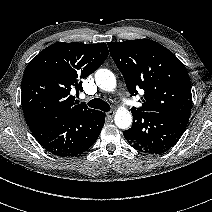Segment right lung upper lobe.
Wrapping results in <instances>:
<instances>
[{
    "instance_id": "cb5924a9",
    "label": "right lung upper lobe",
    "mask_w": 212,
    "mask_h": 212,
    "mask_svg": "<svg viewBox=\"0 0 212 212\" xmlns=\"http://www.w3.org/2000/svg\"><path fill=\"white\" fill-rule=\"evenodd\" d=\"M107 56L105 43L58 42L34 57L22 79V108L28 126L95 111L75 101L70 92L82 91L81 79L92 74Z\"/></svg>"
}]
</instances>
